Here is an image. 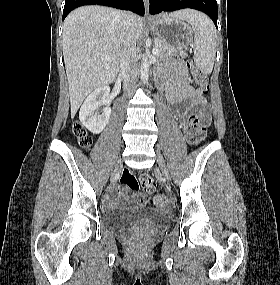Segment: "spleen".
Returning a JSON list of instances; mask_svg holds the SVG:
<instances>
[{"mask_svg":"<svg viewBox=\"0 0 280 285\" xmlns=\"http://www.w3.org/2000/svg\"><path fill=\"white\" fill-rule=\"evenodd\" d=\"M171 16L190 23L194 32V62L203 73L210 74L216 55V30L212 21L206 15L190 9L174 12Z\"/></svg>","mask_w":280,"mask_h":285,"instance_id":"spleen-1","label":"spleen"}]
</instances>
